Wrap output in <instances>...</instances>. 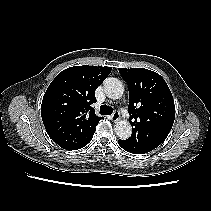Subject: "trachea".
Returning a JSON list of instances; mask_svg holds the SVG:
<instances>
[{"label":"trachea","instance_id":"1","mask_svg":"<svg viewBox=\"0 0 211 211\" xmlns=\"http://www.w3.org/2000/svg\"><path fill=\"white\" fill-rule=\"evenodd\" d=\"M100 113L102 115H111L113 113V108L109 107L107 105H101L100 106Z\"/></svg>","mask_w":211,"mask_h":211}]
</instances>
